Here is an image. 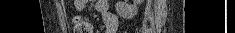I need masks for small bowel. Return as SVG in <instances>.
Returning <instances> with one entry per match:
<instances>
[{
	"instance_id": "1",
	"label": "small bowel",
	"mask_w": 235,
	"mask_h": 33,
	"mask_svg": "<svg viewBox=\"0 0 235 33\" xmlns=\"http://www.w3.org/2000/svg\"><path fill=\"white\" fill-rule=\"evenodd\" d=\"M85 0H80L77 2V7L81 8L85 4ZM95 8L98 13L101 15L105 26H106V33H115L118 27L117 18L109 12V5L106 0H97L95 2Z\"/></svg>"
}]
</instances>
